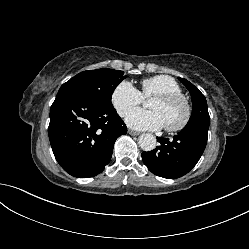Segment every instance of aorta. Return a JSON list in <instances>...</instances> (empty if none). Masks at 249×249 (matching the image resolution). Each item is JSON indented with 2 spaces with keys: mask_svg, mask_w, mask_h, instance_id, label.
Masks as SVG:
<instances>
[{
  "mask_svg": "<svg viewBox=\"0 0 249 249\" xmlns=\"http://www.w3.org/2000/svg\"><path fill=\"white\" fill-rule=\"evenodd\" d=\"M139 146L144 151H151L156 147V137L149 133H144L139 137Z\"/></svg>",
  "mask_w": 249,
  "mask_h": 249,
  "instance_id": "obj_1",
  "label": "aorta"
}]
</instances>
